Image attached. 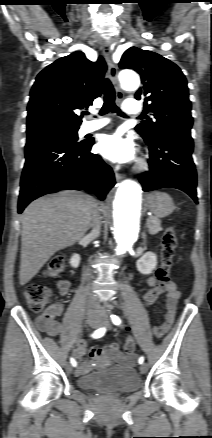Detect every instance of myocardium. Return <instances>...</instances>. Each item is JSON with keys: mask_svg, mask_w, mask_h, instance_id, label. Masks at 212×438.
Listing matches in <instances>:
<instances>
[{"mask_svg": "<svg viewBox=\"0 0 212 438\" xmlns=\"http://www.w3.org/2000/svg\"><path fill=\"white\" fill-rule=\"evenodd\" d=\"M149 167V163L146 159L141 158L137 161L136 165H135V170L137 172H144L148 169Z\"/></svg>", "mask_w": 212, "mask_h": 438, "instance_id": "f54148a6", "label": "myocardium"}]
</instances>
